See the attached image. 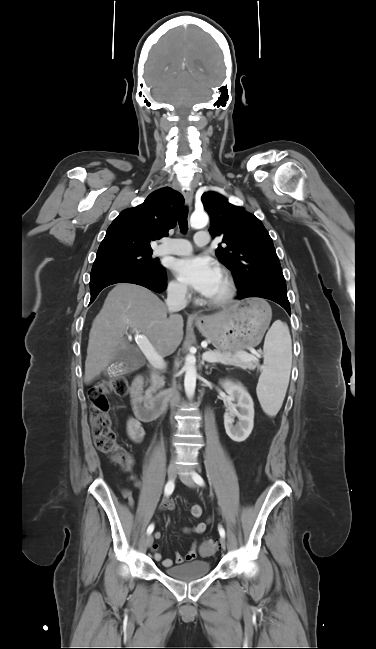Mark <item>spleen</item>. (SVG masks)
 Returning <instances> with one entry per match:
<instances>
[{
    "mask_svg": "<svg viewBox=\"0 0 376 649\" xmlns=\"http://www.w3.org/2000/svg\"><path fill=\"white\" fill-rule=\"evenodd\" d=\"M292 365V342L289 330L274 323L264 342V364L256 388L264 412L275 416L280 410L289 383Z\"/></svg>",
    "mask_w": 376,
    "mask_h": 649,
    "instance_id": "obj_1",
    "label": "spleen"
}]
</instances>
